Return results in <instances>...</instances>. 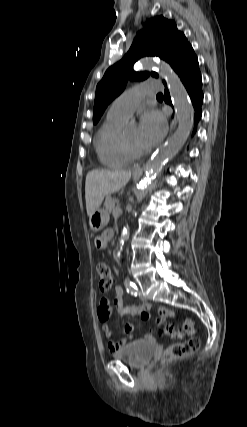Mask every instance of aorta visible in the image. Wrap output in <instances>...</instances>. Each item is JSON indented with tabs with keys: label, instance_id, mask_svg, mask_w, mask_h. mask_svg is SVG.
Returning <instances> with one entry per match:
<instances>
[{
	"label": "aorta",
	"instance_id": "aorta-1",
	"mask_svg": "<svg viewBox=\"0 0 247 427\" xmlns=\"http://www.w3.org/2000/svg\"><path fill=\"white\" fill-rule=\"evenodd\" d=\"M143 68H155L161 77H164L170 91L178 120V128L168 143L158 149L153 159L145 167V177L141 180L136 192L137 201L140 202L146 194L149 176L158 173L169 159L173 158L183 147L193 126V106L189 95L178 75L167 65L159 63L152 58H144L140 63ZM129 236L128 225L123 227L120 244Z\"/></svg>",
	"mask_w": 247,
	"mask_h": 427
}]
</instances>
